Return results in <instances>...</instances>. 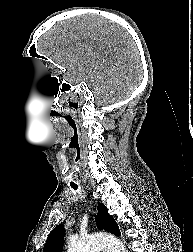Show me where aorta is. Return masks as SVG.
<instances>
[{"label":"aorta","instance_id":"762f6f07","mask_svg":"<svg viewBox=\"0 0 193 252\" xmlns=\"http://www.w3.org/2000/svg\"><path fill=\"white\" fill-rule=\"evenodd\" d=\"M105 249L106 252H125L124 244L116 237L106 234H95L79 241L68 242L67 252H99Z\"/></svg>","mask_w":193,"mask_h":252}]
</instances>
